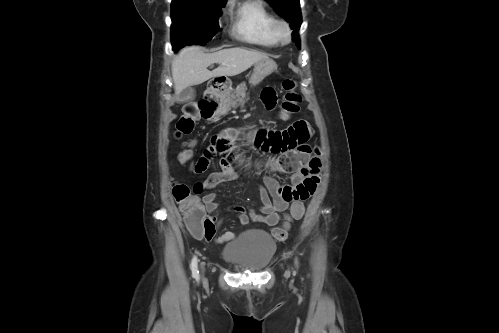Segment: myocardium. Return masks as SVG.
<instances>
[{
    "instance_id": "obj_1",
    "label": "myocardium",
    "mask_w": 499,
    "mask_h": 333,
    "mask_svg": "<svg viewBox=\"0 0 499 333\" xmlns=\"http://www.w3.org/2000/svg\"><path fill=\"white\" fill-rule=\"evenodd\" d=\"M273 33L278 41L288 42L291 38V29L287 21L276 19L273 24Z\"/></svg>"
}]
</instances>
